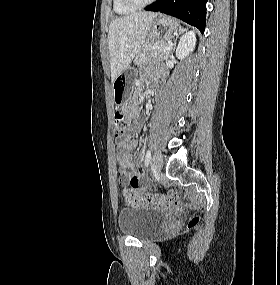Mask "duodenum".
Segmentation results:
<instances>
[{"label":"duodenum","mask_w":280,"mask_h":285,"mask_svg":"<svg viewBox=\"0 0 280 285\" xmlns=\"http://www.w3.org/2000/svg\"><path fill=\"white\" fill-rule=\"evenodd\" d=\"M159 95H160V88L157 85H155L154 86V96L155 98H158Z\"/></svg>","instance_id":"duodenum-1"}]
</instances>
